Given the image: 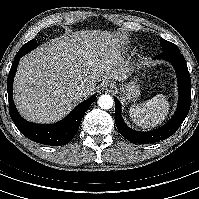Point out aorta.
Instances as JSON below:
<instances>
[{
    "mask_svg": "<svg viewBox=\"0 0 199 199\" xmlns=\"http://www.w3.org/2000/svg\"><path fill=\"white\" fill-rule=\"evenodd\" d=\"M114 100L110 95L103 94L98 98V105L101 109L108 110L113 107Z\"/></svg>",
    "mask_w": 199,
    "mask_h": 199,
    "instance_id": "1",
    "label": "aorta"
}]
</instances>
